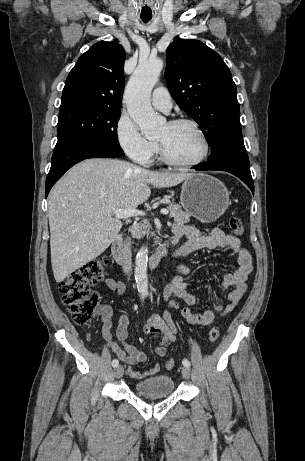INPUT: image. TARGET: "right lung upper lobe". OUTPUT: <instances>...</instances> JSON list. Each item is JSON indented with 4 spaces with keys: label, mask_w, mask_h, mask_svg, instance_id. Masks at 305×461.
Wrapping results in <instances>:
<instances>
[{
    "label": "right lung upper lobe",
    "mask_w": 305,
    "mask_h": 461,
    "mask_svg": "<svg viewBox=\"0 0 305 461\" xmlns=\"http://www.w3.org/2000/svg\"><path fill=\"white\" fill-rule=\"evenodd\" d=\"M125 52L117 42L100 41L81 55L70 71L60 108L95 104L121 108Z\"/></svg>",
    "instance_id": "cb5924a9"
}]
</instances>
